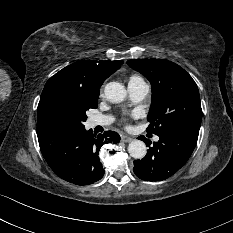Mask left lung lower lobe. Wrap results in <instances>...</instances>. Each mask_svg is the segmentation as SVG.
Listing matches in <instances>:
<instances>
[{"mask_svg": "<svg viewBox=\"0 0 233 233\" xmlns=\"http://www.w3.org/2000/svg\"><path fill=\"white\" fill-rule=\"evenodd\" d=\"M200 122L182 124L164 134L150 147L149 141L140 136L149 146L146 156L134 161L133 171L140 179L162 181L176 173L189 159L197 143Z\"/></svg>", "mask_w": 233, "mask_h": 233, "instance_id": "0a47b994", "label": "left lung lower lobe"}]
</instances>
